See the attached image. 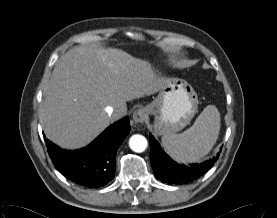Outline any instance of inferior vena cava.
Returning <instances> with one entry per match:
<instances>
[{
  "mask_svg": "<svg viewBox=\"0 0 277 218\" xmlns=\"http://www.w3.org/2000/svg\"><path fill=\"white\" fill-rule=\"evenodd\" d=\"M106 112L110 117L120 118L125 115V111L123 109L114 110L112 107H106Z\"/></svg>",
  "mask_w": 277,
  "mask_h": 218,
  "instance_id": "602c4592",
  "label": "inferior vena cava"
}]
</instances>
